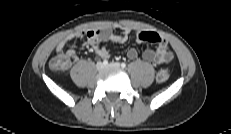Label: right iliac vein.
<instances>
[{
    "mask_svg": "<svg viewBox=\"0 0 231 134\" xmlns=\"http://www.w3.org/2000/svg\"><path fill=\"white\" fill-rule=\"evenodd\" d=\"M104 67H105V66H104L101 62H98V63L96 64V68H97L98 71L103 70Z\"/></svg>",
    "mask_w": 231,
    "mask_h": 134,
    "instance_id": "right-iliac-vein-1",
    "label": "right iliac vein"
}]
</instances>
